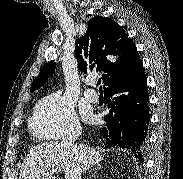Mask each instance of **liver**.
Returning <instances> with one entry per match:
<instances>
[{
	"instance_id": "liver-1",
	"label": "liver",
	"mask_w": 183,
	"mask_h": 179,
	"mask_svg": "<svg viewBox=\"0 0 183 179\" xmlns=\"http://www.w3.org/2000/svg\"><path fill=\"white\" fill-rule=\"evenodd\" d=\"M104 154L85 145L67 149L60 142L33 146L24 159L19 179H56L48 174L53 168L63 170L65 179H81L82 172L101 162Z\"/></svg>"
}]
</instances>
